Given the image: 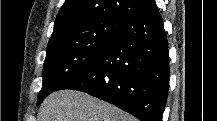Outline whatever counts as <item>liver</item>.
I'll return each mask as SVG.
<instances>
[{
    "label": "liver",
    "mask_w": 217,
    "mask_h": 121,
    "mask_svg": "<svg viewBox=\"0 0 217 121\" xmlns=\"http://www.w3.org/2000/svg\"><path fill=\"white\" fill-rule=\"evenodd\" d=\"M37 121H136L134 117L86 93L61 90L42 103Z\"/></svg>",
    "instance_id": "1"
}]
</instances>
